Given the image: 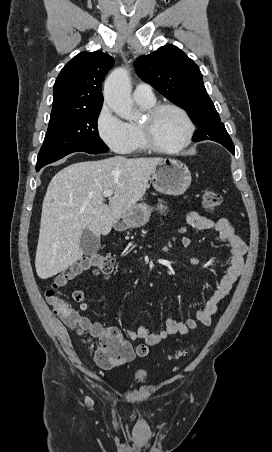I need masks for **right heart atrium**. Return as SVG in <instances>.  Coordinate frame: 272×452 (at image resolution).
I'll use <instances>...</instances> for the list:
<instances>
[{
  "label": "right heart atrium",
  "mask_w": 272,
  "mask_h": 452,
  "mask_svg": "<svg viewBox=\"0 0 272 452\" xmlns=\"http://www.w3.org/2000/svg\"><path fill=\"white\" fill-rule=\"evenodd\" d=\"M95 129L101 141L112 151H126L130 138L127 123L115 116L106 103L101 106L96 116Z\"/></svg>",
  "instance_id": "obj_1"
}]
</instances>
